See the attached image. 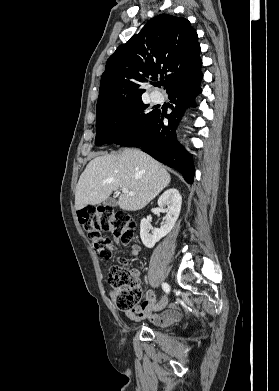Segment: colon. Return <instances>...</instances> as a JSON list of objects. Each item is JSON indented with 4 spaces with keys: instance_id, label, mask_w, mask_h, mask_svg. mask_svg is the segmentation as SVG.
<instances>
[{
    "instance_id": "obj_1",
    "label": "colon",
    "mask_w": 279,
    "mask_h": 391,
    "mask_svg": "<svg viewBox=\"0 0 279 391\" xmlns=\"http://www.w3.org/2000/svg\"><path fill=\"white\" fill-rule=\"evenodd\" d=\"M78 219L97 255L105 260L112 257L114 242L127 244L136 237L135 221L124 211H115L111 207H86L78 212ZM106 232L111 236H105ZM108 281L119 309L130 311L139 304L141 287L134 273L124 263L111 267Z\"/></svg>"
}]
</instances>
